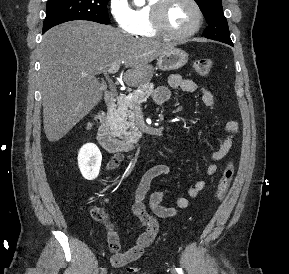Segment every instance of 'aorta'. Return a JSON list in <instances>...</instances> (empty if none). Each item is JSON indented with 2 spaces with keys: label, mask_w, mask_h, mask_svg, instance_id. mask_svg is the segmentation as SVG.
<instances>
[{
  "label": "aorta",
  "mask_w": 289,
  "mask_h": 274,
  "mask_svg": "<svg viewBox=\"0 0 289 274\" xmlns=\"http://www.w3.org/2000/svg\"><path fill=\"white\" fill-rule=\"evenodd\" d=\"M134 2L137 4V5H140L143 3V0H134Z\"/></svg>",
  "instance_id": "aorta-1"
}]
</instances>
